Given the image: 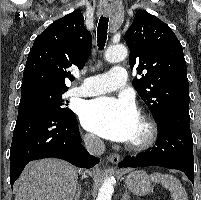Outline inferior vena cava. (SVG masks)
<instances>
[{
    "instance_id": "obj_1",
    "label": "inferior vena cava",
    "mask_w": 201,
    "mask_h": 200,
    "mask_svg": "<svg viewBox=\"0 0 201 200\" xmlns=\"http://www.w3.org/2000/svg\"><path fill=\"white\" fill-rule=\"evenodd\" d=\"M84 144L91 154L102 155L105 150L102 140L94 135H86L84 137Z\"/></svg>"
}]
</instances>
